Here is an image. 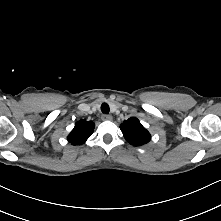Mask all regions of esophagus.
Segmentation results:
<instances>
[{
  "label": "esophagus",
  "instance_id": "34e87169",
  "mask_svg": "<svg viewBox=\"0 0 221 221\" xmlns=\"http://www.w3.org/2000/svg\"><path fill=\"white\" fill-rule=\"evenodd\" d=\"M101 118L102 120H112V116L107 114H103Z\"/></svg>",
  "mask_w": 221,
  "mask_h": 221
}]
</instances>
